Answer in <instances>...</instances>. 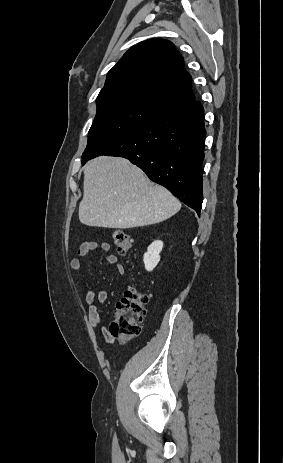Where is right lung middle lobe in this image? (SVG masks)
<instances>
[{
  "label": "right lung middle lobe",
  "instance_id": "obj_1",
  "mask_svg": "<svg viewBox=\"0 0 283 463\" xmlns=\"http://www.w3.org/2000/svg\"><path fill=\"white\" fill-rule=\"evenodd\" d=\"M96 101L97 113L82 158L160 112L157 107L124 93H105L98 95Z\"/></svg>",
  "mask_w": 283,
  "mask_h": 463
}]
</instances>
